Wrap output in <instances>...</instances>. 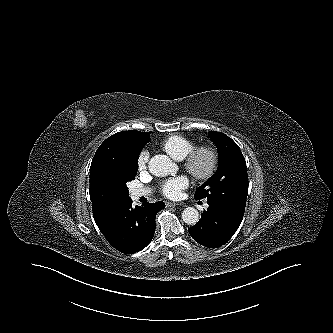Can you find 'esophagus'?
<instances>
[{
    "label": "esophagus",
    "mask_w": 333,
    "mask_h": 333,
    "mask_svg": "<svg viewBox=\"0 0 333 333\" xmlns=\"http://www.w3.org/2000/svg\"><path fill=\"white\" fill-rule=\"evenodd\" d=\"M167 207H175V206H179V205H183L181 203H175V202H165Z\"/></svg>",
    "instance_id": "1"
}]
</instances>
